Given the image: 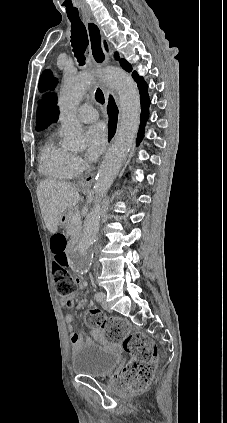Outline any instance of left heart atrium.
Segmentation results:
<instances>
[{
	"label": "left heart atrium",
	"instance_id": "obj_1",
	"mask_svg": "<svg viewBox=\"0 0 227 423\" xmlns=\"http://www.w3.org/2000/svg\"><path fill=\"white\" fill-rule=\"evenodd\" d=\"M88 152L91 160H96L106 149L108 143V131L103 125H96L87 132Z\"/></svg>",
	"mask_w": 227,
	"mask_h": 423
}]
</instances>
